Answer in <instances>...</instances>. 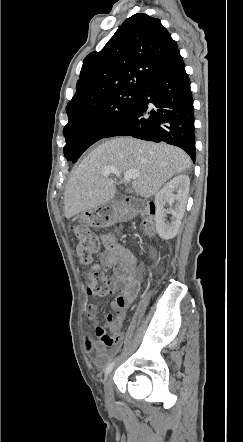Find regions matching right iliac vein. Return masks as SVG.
<instances>
[{"instance_id": "right-iliac-vein-1", "label": "right iliac vein", "mask_w": 243, "mask_h": 442, "mask_svg": "<svg viewBox=\"0 0 243 442\" xmlns=\"http://www.w3.org/2000/svg\"><path fill=\"white\" fill-rule=\"evenodd\" d=\"M104 396L106 404L112 407L114 404L113 386H112V376L109 377L104 382Z\"/></svg>"}]
</instances>
